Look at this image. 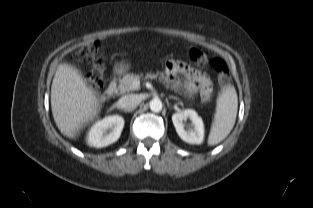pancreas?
<instances>
[{"instance_id":"pancreas-1","label":"pancreas","mask_w":313,"mask_h":208,"mask_svg":"<svg viewBox=\"0 0 313 208\" xmlns=\"http://www.w3.org/2000/svg\"><path fill=\"white\" fill-rule=\"evenodd\" d=\"M158 74H148L147 77L151 79L157 78ZM140 76L134 74H126L123 76L122 79L119 80V85L116 90L117 95L124 94L126 92L139 90L140 86H135L134 81L135 79H139Z\"/></svg>"}]
</instances>
